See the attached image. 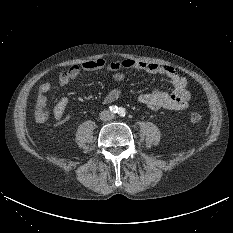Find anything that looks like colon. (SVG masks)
Here are the masks:
<instances>
[{
	"instance_id": "1",
	"label": "colon",
	"mask_w": 233,
	"mask_h": 233,
	"mask_svg": "<svg viewBox=\"0 0 233 233\" xmlns=\"http://www.w3.org/2000/svg\"><path fill=\"white\" fill-rule=\"evenodd\" d=\"M44 116H45V112L43 110H41L37 115L38 119H42L44 118ZM189 119L193 123H199L202 120V116L197 111H192L189 114Z\"/></svg>"
}]
</instances>
